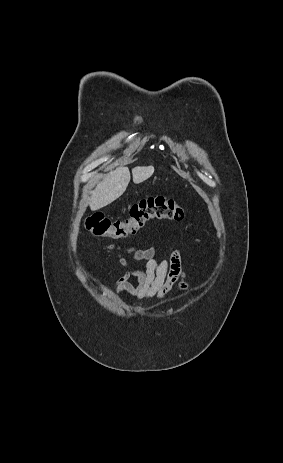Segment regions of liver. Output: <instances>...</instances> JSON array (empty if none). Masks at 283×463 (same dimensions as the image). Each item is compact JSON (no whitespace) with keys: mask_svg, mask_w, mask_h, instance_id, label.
I'll list each match as a JSON object with an SVG mask.
<instances>
[{"mask_svg":"<svg viewBox=\"0 0 283 463\" xmlns=\"http://www.w3.org/2000/svg\"><path fill=\"white\" fill-rule=\"evenodd\" d=\"M153 173V166L135 167L132 169L133 182L139 184L151 177ZM130 178V171L127 167H119L108 173L91 193L90 209L99 210L118 199L125 192Z\"/></svg>","mask_w":283,"mask_h":463,"instance_id":"obj_1","label":"liver"}]
</instances>
